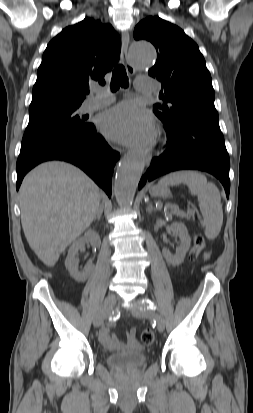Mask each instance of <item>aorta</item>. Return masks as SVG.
Here are the masks:
<instances>
[{"label":"aorta","instance_id":"obj_1","mask_svg":"<svg viewBox=\"0 0 253 413\" xmlns=\"http://www.w3.org/2000/svg\"><path fill=\"white\" fill-rule=\"evenodd\" d=\"M133 65L140 70L152 66L156 58L153 45L147 41H134L129 48ZM146 160L140 152H129L120 162L114 180V192L120 205H129L135 195Z\"/></svg>","mask_w":253,"mask_h":413}]
</instances>
